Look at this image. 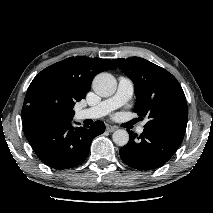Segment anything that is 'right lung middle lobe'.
Segmentation results:
<instances>
[{
    "instance_id": "obj_1",
    "label": "right lung middle lobe",
    "mask_w": 213,
    "mask_h": 213,
    "mask_svg": "<svg viewBox=\"0 0 213 213\" xmlns=\"http://www.w3.org/2000/svg\"><path fill=\"white\" fill-rule=\"evenodd\" d=\"M57 103L53 98H40L38 99L33 107H32V114L34 117L41 121L48 120L56 111Z\"/></svg>"
}]
</instances>
